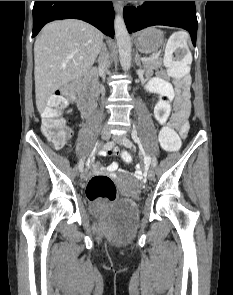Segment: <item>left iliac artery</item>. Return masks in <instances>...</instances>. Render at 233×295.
<instances>
[{
	"label": "left iliac artery",
	"instance_id": "obj_1",
	"mask_svg": "<svg viewBox=\"0 0 233 295\" xmlns=\"http://www.w3.org/2000/svg\"><path fill=\"white\" fill-rule=\"evenodd\" d=\"M133 139V138H132ZM133 142L131 140H125V145H131ZM154 160L152 161V165H151V168L152 169H155L156 166H157V161L155 160L157 157L154 155L152 157Z\"/></svg>",
	"mask_w": 233,
	"mask_h": 295
}]
</instances>
